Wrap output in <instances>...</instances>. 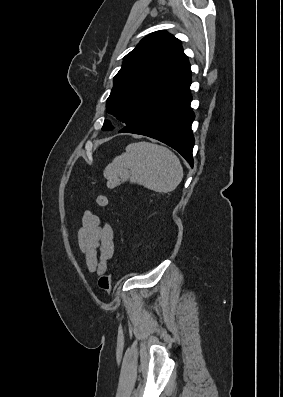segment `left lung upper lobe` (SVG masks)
<instances>
[{
  "mask_svg": "<svg viewBox=\"0 0 283 397\" xmlns=\"http://www.w3.org/2000/svg\"><path fill=\"white\" fill-rule=\"evenodd\" d=\"M191 81L181 42L166 31L149 34L124 57L106 110L129 125L144 111ZM103 130L113 126L105 121Z\"/></svg>",
  "mask_w": 283,
  "mask_h": 397,
  "instance_id": "obj_1",
  "label": "left lung upper lobe"
}]
</instances>
